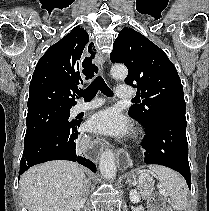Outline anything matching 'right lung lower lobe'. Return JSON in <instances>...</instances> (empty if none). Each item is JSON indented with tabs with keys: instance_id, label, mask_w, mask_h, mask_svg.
<instances>
[{
	"instance_id": "right-lung-lower-lobe-1",
	"label": "right lung lower lobe",
	"mask_w": 209,
	"mask_h": 211,
	"mask_svg": "<svg viewBox=\"0 0 209 211\" xmlns=\"http://www.w3.org/2000/svg\"><path fill=\"white\" fill-rule=\"evenodd\" d=\"M80 124L81 120H74L69 124L54 128L24 148L23 157L20 161L19 178L29 167L51 160L78 162L96 172L94 163L76 153L75 140L79 134L78 127Z\"/></svg>"
}]
</instances>
